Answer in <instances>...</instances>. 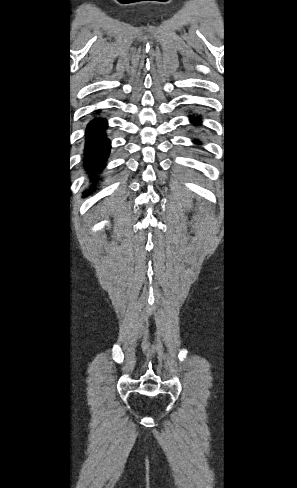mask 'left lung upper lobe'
Here are the masks:
<instances>
[{"mask_svg": "<svg viewBox=\"0 0 297 488\" xmlns=\"http://www.w3.org/2000/svg\"><path fill=\"white\" fill-rule=\"evenodd\" d=\"M69 137H70V136H68V143H70V142H69V141H70V138H69ZM69 145H70V144H69ZM69 147H70V146H69ZM69 149H70V148H69Z\"/></svg>", "mask_w": 297, "mask_h": 488, "instance_id": "obj_1", "label": "left lung upper lobe"}]
</instances>
